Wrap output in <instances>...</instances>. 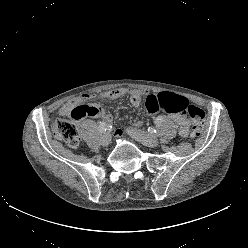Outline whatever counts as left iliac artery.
Masks as SVG:
<instances>
[{
  "mask_svg": "<svg viewBox=\"0 0 248 248\" xmlns=\"http://www.w3.org/2000/svg\"><path fill=\"white\" fill-rule=\"evenodd\" d=\"M151 131H152V132H156V130H155V129H151Z\"/></svg>",
  "mask_w": 248,
  "mask_h": 248,
  "instance_id": "1",
  "label": "left iliac artery"
}]
</instances>
